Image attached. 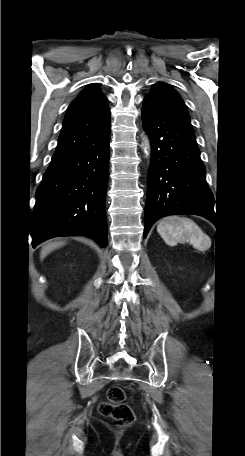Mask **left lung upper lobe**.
<instances>
[{
    "label": "left lung upper lobe",
    "instance_id": "obj_1",
    "mask_svg": "<svg viewBox=\"0 0 245 456\" xmlns=\"http://www.w3.org/2000/svg\"><path fill=\"white\" fill-rule=\"evenodd\" d=\"M162 106L173 108L188 114L186 105L181 97L166 83H157L152 91L145 97Z\"/></svg>",
    "mask_w": 245,
    "mask_h": 456
}]
</instances>
